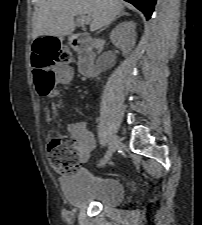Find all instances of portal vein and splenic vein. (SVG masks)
<instances>
[{
    "mask_svg": "<svg viewBox=\"0 0 202 225\" xmlns=\"http://www.w3.org/2000/svg\"><path fill=\"white\" fill-rule=\"evenodd\" d=\"M80 21L86 25H88L91 21V17L90 16H87V15H82L80 17Z\"/></svg>",
    "mask_w": 202,
    "mask_h": 225,
    "instance_id": "portal-vein-and-splenic-vein-1",
    "label": "portal vein and splenic vein"
}]
</instances>
